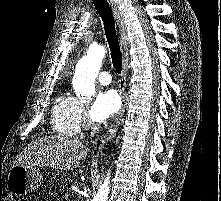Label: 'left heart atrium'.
I'll return each instance as SVG.
<instances>
[{"label": "left heart atrium", "instance_id": "obj_1", "mask_svg": "<svg viewBox=\"0 0 221 201\" xmlns=\"http://www.w3.org/2000/svg\"><path fill=\"white\" fill-rule=\"evenodd\" d=\"M120 107V99L114 90L101 91L90 110L91 118L96 122H104L111 118Z\"/></svg>", "mask_w": 221, "mask_h": 201}]
</instances>
